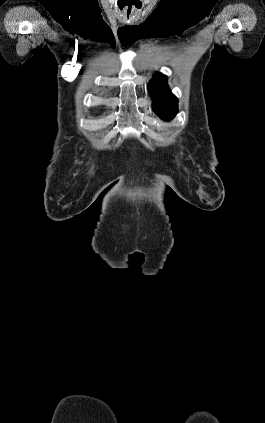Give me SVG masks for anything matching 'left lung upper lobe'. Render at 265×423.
Listing matches in <instances>:
<instances>
[{
    "mask_svg": "<svg viewBox=\"0 0 265 423\" xmlns=\"http://www.w3.org/2000/svg\"><path fill=\"white\" fill-rule=\"evenodd\" d=\"M166 76L161 73L149 82L148 90L151 94L154 112L164 120H170L178 113V99L170 92Z\"/></svg>",
    "mask_w": 265,
    "mask_h": 423,
    "instance_id": "1",
    "label": "left lung upper lobe"
}]
</instances>
